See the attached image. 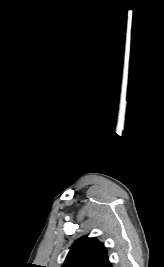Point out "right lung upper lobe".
<instances>
[{"mask_svg": "<svg viewBox=\"0 0 164 267\" xmlns=\"http://www.w3.org/2000/svg\"><path fill=\"white\" fill-rule=\"evenodd\" d=\"M108 261L104 245L84 236L73 244L62 267H103Z\"/></svg>", "mask_w": 164, "mask_h": 267, "instance_id": "cb5924a9", "label": "right lung upper lobe"}]
</instances>
